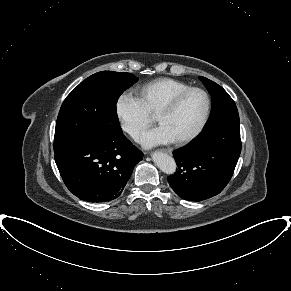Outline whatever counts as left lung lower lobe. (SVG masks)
Wrapping results in <instances>:
<instances>
[{"mask_svg":"<svg viewBox=\"0 0 291 291\" xmlns=\"http://www.w3.org/2000/svg\"><path fill=\"white\" fill-rule=\"evenodd\" d=\"M241 153L240 127H221L174 151L178 169L169 185L185 200L219 194L231 179Z\"/></svg>","mask_w":291,"mask_h":291,"instance_id":"0a47b994","label":"left lung lower lobe"}]
</instances>
